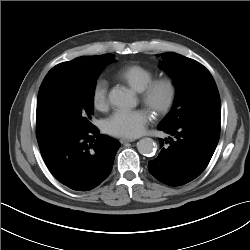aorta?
Returning a JSON list of instances; mask_svg holds the SVG:
<instances>
[{"label":"aorta","mask_w":250,"mask_h":250,"mask_svg":"<svg viewBox=\"0 0 250 250\" xmlns=\"http://www.w3.org/2000/svg\"><path fill=\"white\" fill-rule=\"evenodd\" d=\"M109 101L118 108H129L135 103L134 96L127 90L113 88L109 92ZM156 143L151 138H143L137 143V149L140 154L153 156L156 152Z\"/></svg>","instance_id":"obj_1"}]
</instances>
